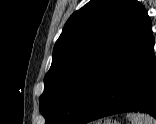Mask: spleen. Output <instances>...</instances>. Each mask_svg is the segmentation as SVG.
Here are the masks:
<instances>
[{"label": "spleen", "mask_w": 156, "mask_h": 124, "mask_svg": "<svg viewBox=\"0 0 156 124\" xmlns=\"http://www.w3.org/2000/svg\"><path fill=\"white\" fill-rule=\"evenodd\" d=\"M127 117L131 120V124H156V120L147 114L129 113Z\"/></svg>", "instance_id": "1"}]
</instances>
